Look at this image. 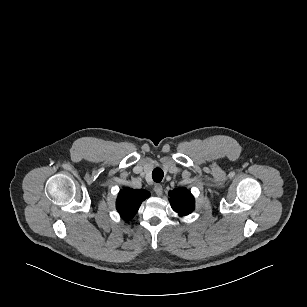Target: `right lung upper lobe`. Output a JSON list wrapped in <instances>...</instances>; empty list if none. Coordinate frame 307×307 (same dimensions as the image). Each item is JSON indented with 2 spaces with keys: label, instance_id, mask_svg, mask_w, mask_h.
Masks as SVG:
<instances>
[{
  "label": "right lung upper lobe",
  "instance_id": "obj_1",
  "mask_svg": "<svg viewBox=\"0 0 307 307\" xmlns=\"http://www.w3.org/2000/svg\"><path fill=\"white\" fill-rule=\"evenodd\" d=\"M149 196L148 191L125 188L118 194L116 208L122 218L129 220L134 217L141 203Z\"/></svg>",
  "mask_w": 307,
  "mask_h": 307
}]
</instances>
